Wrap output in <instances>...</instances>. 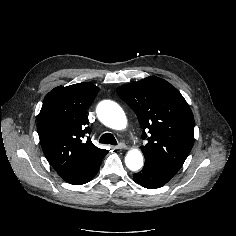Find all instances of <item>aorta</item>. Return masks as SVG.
Segmentation results:
<instances>
[{
	"instance_id": "1",
	"label": "aorta",
	"mask_w": 236,
	"mask_h": 236,
	"mask_svg": "<svg viewBox=\"0 0 236 236\" xmlns=\"http://www.w3.org/2000/svg\"><path fill=\"white\" fill-rule=\"evenodd\" d=\"M97 115L100 121L116 130H122L126 127L127 119L123 109L114 101H102L97 107ZM125 163L128 169L137 171L143 166V156L140 150H130L126 157Z\"/></svg>"
}]
</instances>
